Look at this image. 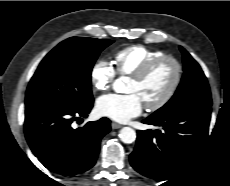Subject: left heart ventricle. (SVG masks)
Returning a JSON list of instances; mask_svg holds the SVG:
<instances>
[{"mask_svg": "<svg viewBox=\"0 0 230 186\" xmlns=\"http://www.w3.org/2000/svg\"><path fill=\"white\" fill-rule=\"evenodd\" d=\"M174 78V66L169 62L160 64L144 81L130 79L127 92L139 96L144 105L159 100L170 87Z\"/></svg>", "mask_w": 230, "mask_h": 186, "instance_id": "obj_1", "label": "left heart ventricle"}]
</instances>
